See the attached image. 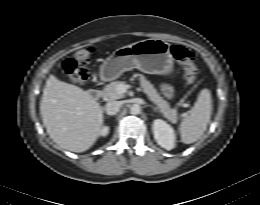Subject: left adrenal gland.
<instances>
[{"label": "left adrenal gland", "instance_id": "1", "mask_svg": "<svg viewBox=\"0 0 260 205\" xmlns=\"http://www.w3.org/2000/svg\"><path fill=\"white\" fill-rule=\"evenodd\" d=\"M154 111H157V108L153 107V106H150Z\"/></svg>", "mask_w": 260, "mask_h": 205}]
</instances>
